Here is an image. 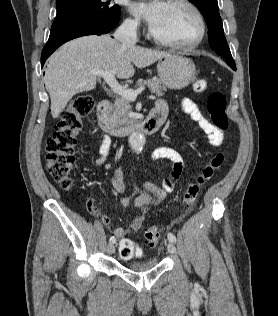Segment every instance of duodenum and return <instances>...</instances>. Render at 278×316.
Wrapping results in <instances>:
<instances>
[{
	"instance_id": "1",
	"label": "duodenum",
	"mask_w": 278,
	"mask_h": 316,
	"mask_svg": "<svg viewBox=\"0 0 278 316\" xmlns=\"http://www.w3.org/2000/svg\"><path fill=\"white\" fill-rule=\"evenodd\" d=\"M110 108V100H103L98 104L97 122L104 132L114 136L155 133L162 126L166 116V111L163 108L155 106L142 121L134 122L127 126H116L109 119Z\"/></svg>"
}]
</instances>
